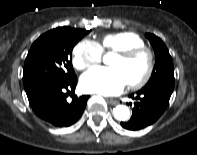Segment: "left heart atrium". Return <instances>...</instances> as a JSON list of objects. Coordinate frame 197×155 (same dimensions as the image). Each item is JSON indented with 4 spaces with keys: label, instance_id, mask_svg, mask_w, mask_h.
I'll return each mask as SVG.
<instances>
[{
    "label": "left heart atrium",
    "instance_id": "obj_1",
    "mask_svg": "<svg viewBox=\"0 0 197 155\" xmlns=\"http://www.w3.org/2000/svg\"><path fill=\"white\" fill-rule=\"evenodd\" d=\"M126 84L122 73L114 67H94L80 78L83 91L105 96L119 94Z\"/></svg>",
    "mask_w": 197,
    "mask_h": 155
}]
</instances>
